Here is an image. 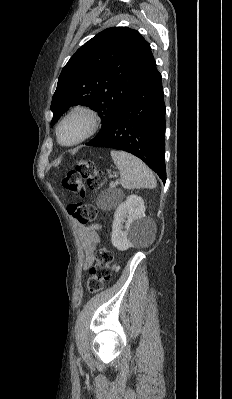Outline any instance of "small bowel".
<instances>
[{"mask_svg":"<svg viewBox=\"0 0 232 399\" xmlns=\"http://www.w3.org/2000/svg\"><path fill=\"white\" fill-rule=\"evenodd\" d=\"M78 237L84 253V264L88 266L93 262L94 245L100 239V231L92 226H80Z\"/></svg>","mask_w":232,"mask_h":399,"instance_id":"1","label":"small bowel"}]
</instances>
